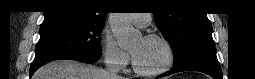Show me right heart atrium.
Wrapping results in <instances>:
<instances>
[{"label": "right heart atrium", "instance_id": "right-heart-atrium-1", "mask_svg": "<svg viewBox=\"0 0 255 79\" xmlns=\"http://www.w3.org/2000/svg\"><path fill=\"white\" fill-rule=\"evenodd\" d=\"M104 55L106 62L118 70H124L130 62L128 53L122 50L111 37L104 39Z\"/></svg>", "mask_w": 255, "mask_h": 79}]
</instances>
